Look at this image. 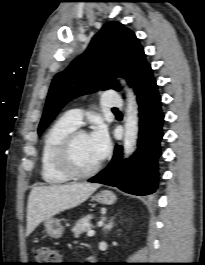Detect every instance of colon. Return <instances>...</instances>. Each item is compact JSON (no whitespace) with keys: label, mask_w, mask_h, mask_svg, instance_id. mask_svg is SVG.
I'll return each instance as SVG.
<instances>
[{"label":"colon","mask_w":205,"mask_h":265,"mask_svg":"<svg viewBox=\"0 0 205 265\" xmlns=\"http://www.w3.org/2000/svg\"><path fill=\"white\" fill-rule=\"evenodd\" d=\"M35 258L39 262L38 265H57L59 255L48 247H40L35 252Z\"/></svg>","instance_id":"obj_1"}]
</instances>
